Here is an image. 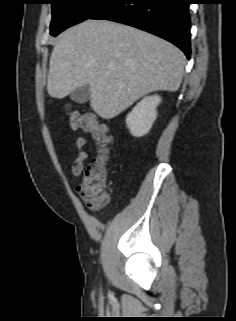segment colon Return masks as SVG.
<instances>
[{"mask_svg":"<svg viewBox=\"0 0 236 321\" xmlns=\"http://www.w3.org/2000/svg\"><path fill=\"white\" fill-rule=\"evenodd\" d=\"M69 122L72 129L90 133L97 145L98 155L90 162L77 191L88 206L100 208L108 201L106 182L108 179L107 162L110 155L111 136L106 126L98 122L93 114L72 112Z\"/></svg>","mask_w":236,"mask_h":321,"instance_id":"obj_1","label":"colon"}]
</instances>
